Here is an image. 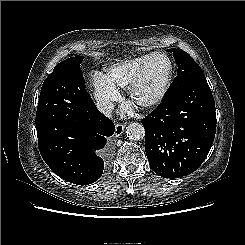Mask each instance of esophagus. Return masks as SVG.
Instances as JSON below:
<instances>
[{
	"label": "esophagus",
	"mask_w": 245,
	"mask_h": 245,
	"mask_svg": "<svg viewBox=\"0 0 245 245\" xmlns=\"http://www.w3.org/2000/svg\"><path fill=\"white\" fill-rule=\"evenodd\" d=\"M127 123H118L115 127V136L118 137L123 134Z\"/></svg>",
	"instance_id": "34e87169"
}]
</instances>
